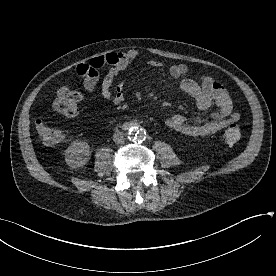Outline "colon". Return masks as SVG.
Returning a JSON list of instances; mask_svg holds the SVG:
<instances>
[{"mask_svg":"<svg viewBox=\"0 0 276 276\" xmlns=\"http://www.w3.org/2000/svg\"><path fill=\"white\" fill-rule=\"evenodd\" d=\"M81 95L78 91L68 87L61 88L53 102L54 110L66 117H73L78 114ZM36 129L43 143L54 145L64 139V133L51 127L41 119L36 121ZM224 142L230 145L238 143L241 139V131L235 124H229L221 133Z\"/></svg>","mask_w":276,"mask_h":276,"instance_id":"colon-1","label":"colon"}]
</instances>
